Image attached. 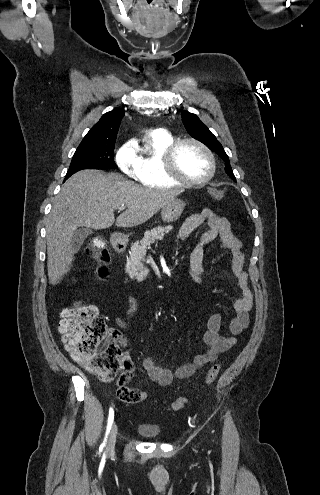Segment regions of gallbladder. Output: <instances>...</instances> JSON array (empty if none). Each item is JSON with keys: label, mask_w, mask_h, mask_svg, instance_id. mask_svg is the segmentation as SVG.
I'll list each match as a JSON object with an SVG mask.
<instances>
[{"label": "gallbladder", "mask_w": 320, "mask_h": 495, "mask_svg": "<svg viewBox=\"0 0 320 495\" xmlns=\"http://www.w3.org/2000/svg\"><path fill=\"white\" fill-rule=\"evenodd\" d=\"M91 234H92V230L88 227H80L74 231L73 236L71 238V246L75 252L79 250L82 243Z\"/></svg>", "instance_id": "bac80fb5"}]
</instances>
